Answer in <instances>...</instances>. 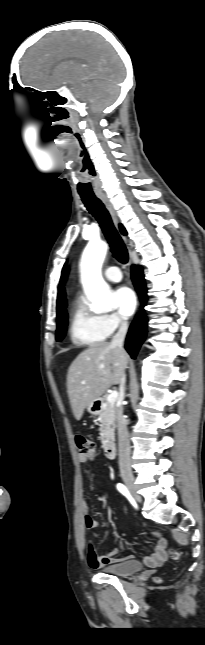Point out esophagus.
<instances>
[{"mask_svg": "<svg viewBox=\"0 0 205 645\" xmlns=\"http://www.w3.org/2000/svg\"><path fill=\"white\" fill-rule=\"evenodd\" d=\"M98 197L101 199V201L104 203V205L106 206L107 210L109 211L115 226L118 227V223H119L118 216H117V213H116L112 203L110 202L109 198L105 194H100V195H98ZM123 239H124L125 242H127V239L125 237H123ZM139 305L140 304L138 302V310H137V312H139Z\"/></svg>", "mask_w": 205, "mask_h": 645, "instance_id": "34e87169", "label": "esophagus"}]
</instances>
